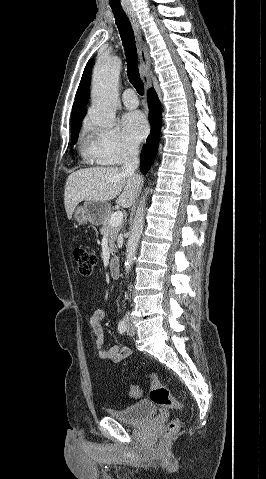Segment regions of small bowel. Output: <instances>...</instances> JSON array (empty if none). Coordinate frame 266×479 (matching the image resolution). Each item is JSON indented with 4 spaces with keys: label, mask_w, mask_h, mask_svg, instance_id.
<instances>
[{
    "label": "small bowel",
    "mask_w": 266,
    "mask_h": 479,
    "mask_svg": "<svg viewBox=\"0 0 266 479\" xmlns=\"http://www.w3.org/2000/svg\"><path fill=\"white\" fill-rule=\"evenodd\" d=\"M104 318V311L97 309L90 318V326L92 333L95 336V349L101 359L110 360L118 363L130 356L131 350L127 347L111 346L105 347L104 331L102 320Z\"/></svg>",
    "instance_id": "obj_1"
}]
</instances>
